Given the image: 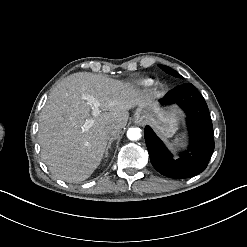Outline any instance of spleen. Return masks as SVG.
<instances>
[{
  "label": "spleen",
  "mask_w": 247,
  "mask_h": 247,
  "mask_svg": "<svg viewBox=\"0 0 247 247\" xmlns=\"http://www.w3.org/2000/svg\"><path fill=\"white\" fill-rule=\"evenodd\" d=\"M170 142H176L178 144L185 145L187 143L186 132H181V133L176 134Z\"/></svg>",
  "instance_id": "3e777b00"
}]
</instances>
